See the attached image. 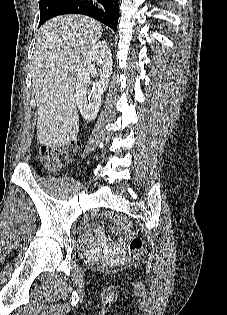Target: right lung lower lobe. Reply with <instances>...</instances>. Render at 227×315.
<instances>
[{
	"mask_svg": "<svg viewBox=\"0 0 227 315\" xmlns=\"http://www.w3.org/2000/svg\"><path fill=\"white\" fill-rule=\"evenodd\" d=\"M64 14H83L117 30L119 17L118 0H60L49 11V19Z\"/></svg>",
	"mask_w": 227,
	"mask_h": 315,
	"instance_id": "1",
	"label": "right lung lower lobe"
}]
</instances>
